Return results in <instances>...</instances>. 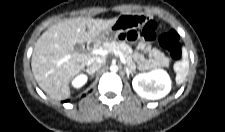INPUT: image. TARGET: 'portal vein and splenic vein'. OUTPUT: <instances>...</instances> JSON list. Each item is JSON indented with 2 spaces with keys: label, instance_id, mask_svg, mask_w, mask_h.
I'll return each instance as SVG.
<instances>
[{
  "label": "portal vein and splenic vein",
  "instance_id": "obj_1",
  "mask_svg": "<svg viewBox=\"0 0 225 132\" xmlns=\"http://www.w3.org/2000/svg\"><path fill=\"white\" fill-rule=\"evenodd\" d=\"M111 52L112 53H115L120 58L121 62L124 65H127V62H126L123 54L120 51H117V50H107V49H103V48H99V49L92 50V54L101 55V56H106L107 54H109Z\"/></svg>",
  "mask_w": 225,
  "mask_h": 132
}]
</instances>
